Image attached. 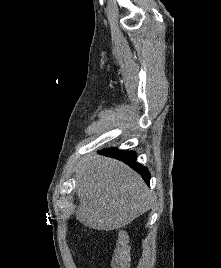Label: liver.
<instances>
[{
	"label": "liver",
	"mask_w": 221,
	"mask_h": 268,
	"mask_svg": "<svg viewBox=\"0 0 221 268\" xmlns=\"http://www.w3.org/2000/svg\"><path fill=\"white\" fill-rule=\"evenodd\" d=\"M76 218L86 227L110 231L148 211L152 195L143 179L113 158L91 155L76 172Z\"/></svg>",
	"instance_id": "1"
}]
</instances>
